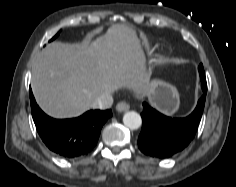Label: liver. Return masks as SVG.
<instances>
[{
  "label": "liver",
  "mask_w": 236,
  "mask_h": 187,
  "mask_svg": "<svg viewBox=\"0 0 236 187\" xmlns=\"http://www.w3.org/2000/svg\"><path fill=\"white\" fill-rule=\"evenodd\" d=\"M145 54L134 28L115 24L82 43L53 42L32 67L31 88L41 109L54 118L86 112L102 94L128 88L135 96L148 94Z\"/></svg>",
  "instance_id": "6515ba94"
}]
</instances>
